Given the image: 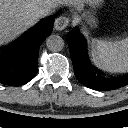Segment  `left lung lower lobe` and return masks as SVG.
<instances>
[{"label":"left lung lower lobe","instance_id":"0a47b994","mask_svg":"<svg viewBox=\"0 0 128 128\" xmlns=\"http://www.w3.org/2000/svg\"><path fill=\"white\" fill-rule=\"evenodd\" d=\"M66 39L75 76L82 84L99 91L113 90L128 85V76L119 79L104 78L88 68L83 55V38L77 29L68 33Z\"/></svg>","mask_w":128,"mask_h":128}]
</instances>
